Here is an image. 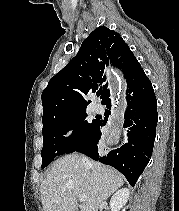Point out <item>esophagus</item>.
<instances>
[{"mask_svg":"<svg viewBox=\"0 0 179 211\" xmlns=\"http://www.w3.org/2000/svg\"><path fill=\"white\" fill-rule=\"evenodd\" d=\"M106 78L110 82V87H117L118 83L114 82L115 79H125V74H122L121 70H110ZM110 98H114L113 101H110L113 119H110L108 133H103L101 140L102 149H107L108 145H116V141H121L120 133L123 130V112L128 106V101L122 89H111Z\"/></svg>","mask_w":179,"mask_h":211,"instance_id":"1","label":"esophagus"}]
</instances>
